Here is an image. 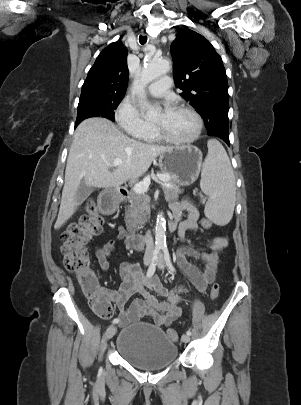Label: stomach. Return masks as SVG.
I'll return each instance as SVG.
<instances>
[{"instance_id":"1","label":"stomach","mask_w":301,"mask_h":405,"mask_svg":"<svg viewBox=\"0 0 301 405\" xmlns=\"http://www.w3.org/2000/svg\"><path fill=\"white\" fill-rule=\"evenodd\" d=\"M159 167L169 174L175 184H193L202 167V152L194 145H179L160 154Z\"/></svg>"}]
</instances>
